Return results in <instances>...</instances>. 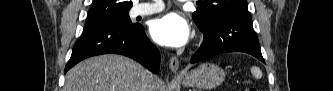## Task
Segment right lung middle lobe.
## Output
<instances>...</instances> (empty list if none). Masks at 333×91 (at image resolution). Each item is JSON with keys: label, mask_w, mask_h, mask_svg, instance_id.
Masks as SVG:
<instances>
[{"label": "right lung middle lobe", "mask_w": 333, "mask_h": 91, "mask_svg": "<svg viewBox=\"0 0 333 91\" xmlns=\"http://www.w3.org/2000/svg\"><path fill=\"white\" fill-rule=\"evenodd\" d=\"M129 11L112 15V16H107V17H102V18H97L93 20H89V23H106V24H120V25H131L133 22L130 20V17L128 15Z\"/></svg>", "instance_id": "obj_1"}]
</instances>
